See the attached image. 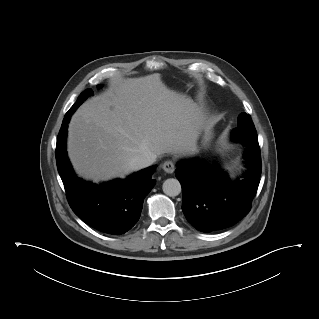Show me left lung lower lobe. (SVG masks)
<instances>
[{"label": "left lung lower lobe", "instance_id": "0a47b994", "mask_svg": "<svg viewBox=\"0 0 319 319\" xmlns=\"http://www.w3.org/2000/svg\"><path fill=\"white\" fill-rule=\"evenodd\" d=\"M235 141L247 147L244 158L249 170L243 180L208 170L200 161L178 163L175 175L182 185V210L188 222L199 231L221 230L240 221L250 209L261 176V155L256 130L237 127Z\"/></svg>", "mask_w": 319, "mask_h": 319}]
</instances>
